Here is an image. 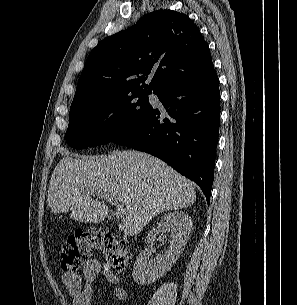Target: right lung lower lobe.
Segmentation results:
<instances>
[{
    "instance_id": "obj_1",
    "label": "right lung lower lobe",
    "mask_w": 297,
    "mask_h": 305,
    "mask_svg": "<svg viewBox=\"0 0 297 305\" xmlns=\"http://www.w3.org/2000/svg\"><path fill=\"white\" fill-rule=\"evenodd\" d=\"M152 111L111 142L152 154L196 182L209 204L220 125L219 80L202 78L160 89Z\"/></svg>"
}]
</instances>
